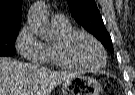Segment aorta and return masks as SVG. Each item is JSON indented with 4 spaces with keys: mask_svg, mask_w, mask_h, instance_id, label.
<instances>
[{
    "mask_svg": "<svg viewBox=\"0 0 135 95\" xmlns=\"http://www.w3.org/2000/svg\"><path fill=\"white\" fill-rule=\"evenodd\" d=\"M28 24L31 30L42 40H49L52 33L47 26L46 7L43 2H37L28 15Z\"/></svg>",
    "mask_w": 135,
    "mask_h": 95,
    "instance_id": "762f6f07",
    "label": "aorta"
}]
</instances>
